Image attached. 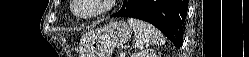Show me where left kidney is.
I'll return each mask as SVG.
<instances>
[{"instance_id":"obj_1","label":"left kidney","mask_w":249,"mask_h":57,"mask_svg":"<svg viewBox=\"0 0 249 57\" xmlns=\"http://www.w3.org/2000/svg\"><path fill=\"white\" fill-rule=\"evenodd\" d=\"M131 57H157V55L152 49H145V50L133 53Z\"/></svg>"}]
</instances>
